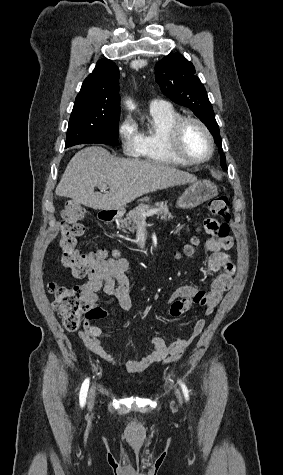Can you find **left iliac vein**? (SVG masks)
<instances>
[{
	"label": "left iliac vein",
	"instance_id": "4c4485c4",
	"mask_svg": "<svg viewBox=\"0 0 283 475\" xmlns=\"http://www.w3.org/2000/svg\"><path fill=\"white\" fill-rule=\"evenodd\" d=\"M175 394H176L177 398L179 399V403H181V395H180L179 391L176 390Z\"/></svg>",
	"mask_w": 283,
	"mask_h": 475
}]
</instances>
